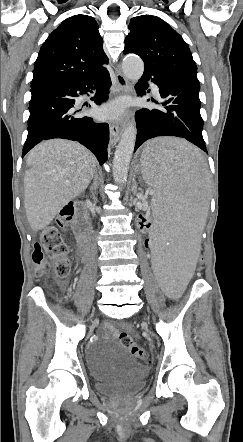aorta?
Here are the masks:
<instances>
[{
    "mask_svg": "<svg viewBox=\"0 0 243 442\" xmlns=\"http://www.w3.org/2000/svg\"><path fill=\"white\" fill-rule=\"evenodd\" d=\"M124 75L131 81L141 78L144 71V63L138 56L129 55L122 63ZM137 129L134 123H130L122 134L113 158V177L117 184L127 181L130 160L135 147Z\"/></svg>",
    "mask_w": 243,
    "mask_h": 442,
    "instance_id": "obj_1",
    "label": "aorta"
}]
</instances>
